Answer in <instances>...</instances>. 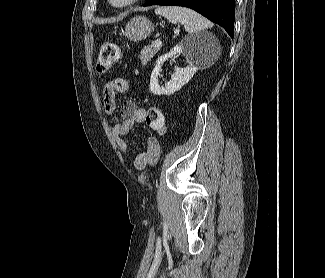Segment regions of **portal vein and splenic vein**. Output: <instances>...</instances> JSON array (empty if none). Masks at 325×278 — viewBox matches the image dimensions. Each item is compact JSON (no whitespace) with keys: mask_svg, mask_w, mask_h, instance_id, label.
<instances>
[{"mask_svg":"<svg viewBox=\"0 0 325 278\" xmlns=\"http://www.w3.org/2000/svg\"><path fill=\"white\" fill-rule=\"evenodd\" d=\"M162 45V41L159 39V40H156L154 43H153V46L154 47H158V46H161Z\"/></svg>","mask_w":325,"mask_h":278,"instance_id":"18ae733b","label":"portal vein and splenic vein"}]
</instances>
